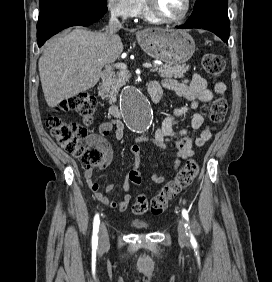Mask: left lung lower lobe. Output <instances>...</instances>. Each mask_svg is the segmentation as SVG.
<instances>
[{"mask_svg":"<svg viewBox=\"0 0 272 282\" xmlns=\"http://www.w3.org/2000/svg\"><path fill=\"white\" fill-rule=\"evenodd\" d=\"M229 25L227 0H196L189 20L177 28H203L215 33L227 43Z\"/></svg>","mask_w":272,"mask_h":282,"instance_id":"0a47b994","label":"left lung lower lobe"}]
</instances>
